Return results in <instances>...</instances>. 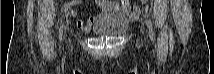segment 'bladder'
I'll use <instances>...</instances> for the list:
<instances>
[{"label":"bladder","mask_w":214,"mask_h":74,"mask_svg":"<svg viewBox=\"0 0 214 74\" xmlns=\"http://www.w3.org/2000/svg\"><path fill=\"white\" fill-rule=\"evenodd\" d=\"M128 21L119 9H111L99 16V20L93 26V32L103 36H118L126 31Z\"/></svg>","instance_id":"bladder-1"}]
</instances>
